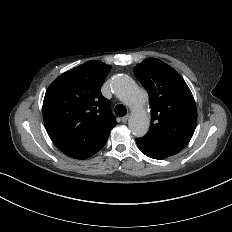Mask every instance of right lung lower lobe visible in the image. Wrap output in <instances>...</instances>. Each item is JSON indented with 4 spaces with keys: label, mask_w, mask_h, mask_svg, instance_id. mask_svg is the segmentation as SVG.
Listing matches in <instances>:
<instances>
[{
    "label": "right lung lower lobe",
    "mask_w": 232,
    "mask_h": 232,
    "mask_svg": "<svg viewBox=\"0 0 232 232\" xmlns=\"http://www.w3.org/2000/svg\"><path fill=\"white\" fill-rule=\"evenodd\" d=\"M105 145V144H104ZM104 145L100 146L99 148L91 151L86 152H69L65 153L67 156L75 158V159H86L91 156H93L95 153H97Z\"/></svg>",
    "instance_id": "98d812e1"
}]
</instances>
